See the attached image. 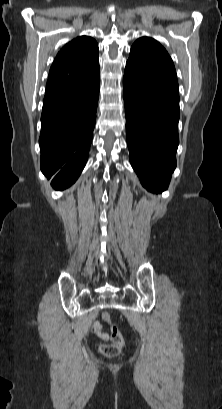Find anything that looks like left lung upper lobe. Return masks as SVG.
<instances>
[{
    "instance_id": "left-lung-upper-lobe-1",
    "label": "left lung upper lobe",
    "mask_w": 222,
    "mask_h": 409,
    "mask_svg": "<svg viewBox=\"0 0 222 409\" xmlns=\"http://www.w3.org/2000/svg\"><path fill=\"white\" fill-rule=\"evenodd\" d=\"M124 74L162 87L179 96L174 64L165 48L152 38H139L132 45Z\"/></svg>"
}]
</instances>
